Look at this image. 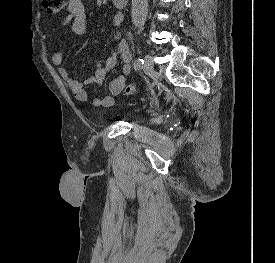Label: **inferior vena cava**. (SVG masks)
Segmentation results:
<instances>
[{
	"mask_svg": "<svg viewBox=\"0 0 275 263\" xmlns=\"http://www.w3.org/2000/svg\"><path fill=\"white\" fill-rule=\"evenodd\" d=\"M148 0H132V22L141 29L146 21Z\"/></svg>",
	"mask_w": 275,
	"mask_h": 263,
	"instance_id": "1",
	"label": "inferior vena cava"
}]
</instances>
